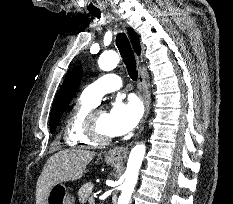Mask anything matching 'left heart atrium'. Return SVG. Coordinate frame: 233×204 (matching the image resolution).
<instances>
[{
  "label": "left heart atrium",
  "instance_id": "1",
  "mask_svg": "<svg viewBox=\"0 0 233 204\" xmlns=\"http://www.w3.org/2000/svg\"><path fill=\"white\" fill-rule=\"evenodd\" d=\"M141 116L142 106L136 98L118 99L109 112L111 134L121 136L129 133L138 125Z\"/></svg>",
  "mask_w": 233,
  "mask_h": 204
}]
</instances>
